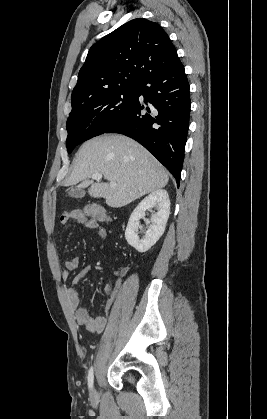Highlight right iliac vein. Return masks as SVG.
<instances>
[{
    "mask_svg": "<svg viewBox=\"0 0 267 419\" xmlns=\"http://www.w3.org/2000/svg\"><path fill=\"white\" fill-rule=\"evenodd\" d=\"M91 396H92V397H95V396H96V392H95V390H94V389H92V391H91Z\"/></svg>",
    "mask_w": 267,
    "mask_h": 419,
    "instance_id": "obj_1",
    "label": "right iliac vein"
}]
</instances>
